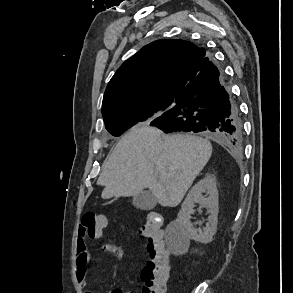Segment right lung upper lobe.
I'll return each mask as SVG.
<instances>
[{"mask_svg": "<svg viewBox=\"0 0 293 293\" xmlns=\"http://www.w3.org/2000/svg\"><path fill=\"white\" fill-rule=\"evenodd\" d=\"M210 60L204 48L181 39L158 40L144 46L108 83L103 118L154 109L175 99Z\"/></svg>", "mask_w": 293, "mask_h": 293, "instance_id": "right-lung-upper-lobe-1", "label": "right lung upper lobe"}]
</instances>
